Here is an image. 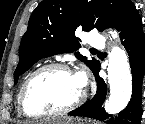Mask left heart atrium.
<instances>
[{"label":"left heart atrium","mask_w":145,"mask_h":124,"mask_svg":"<svg viewBox=\"0 0 145 124\" xmlns=\"http://www.w3.org/2000/svg\"><path fill=\"white\" fill-rule=\"evenodd\" d=\"M75 76L77 78V81L81 85V87L84 88V85H85V77H84V75L78 74V75H75Z\"/></svg>","instance_id":"obj_1"}]
</instances>
